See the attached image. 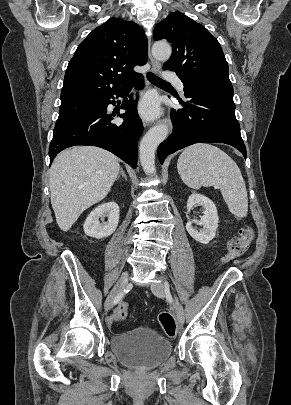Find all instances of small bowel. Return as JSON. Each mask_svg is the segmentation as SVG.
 Returning a JSON list of instances; mask_svg holds the SVG:
<instances>
[{
  "label": "small bowel",
  "instance_id": "c3829d8e",
  "mask_svg": "<svg viewBox=\"0 0 291 405\" xmlns=\"http://www.w3.org/2000/svg\"><path fill=\"white\" fill-rule=\"evenodd\" d=\"M108 325H109L110 327L113 326V324L110 322V320L108 321Z\"/></svg>",
  "mask_w": 291,
  "mask_h": 405
}]
</instances>
